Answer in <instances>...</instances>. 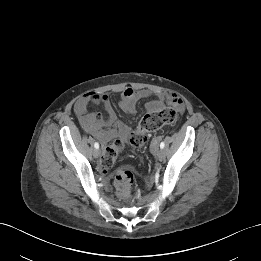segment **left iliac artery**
Here are the masks:
<instances>
[{
    "mask_svg": "<svg viewBox=\"0 0 261 261\" xmlns=\"http://www.w3.org/2000/svg\"><path fill=\"white\" fill-rule=\"evenodd\" d=\"M165 147V143L164 142H161L160 143V148L163 149Z\"/></svg>",
    "mask_w": 261,
    "mask_h": 261,
    "instance_id": "obj_1",
    "label": "left iliac artery"
}]
</instances>
